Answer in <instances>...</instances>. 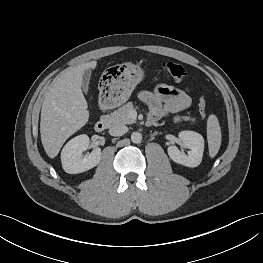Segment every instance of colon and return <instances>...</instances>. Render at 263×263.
<instances>
[{
	"mask_svg": "<svg viewBox=\"0 0 263 263\" xmlns=\"http://www.w3.org/2000/svg\"><path fill=\"white\" fill-rule=\"evenodd\" d=\"M162 70L164 73L172 77L177 81L184 80L187 76L186 70L183 66L172 62V61H164L162 63ZM199 112L202 116H205L206 113V101L204 97L199 98L198 102Z\"/></svg>",
	"mask_w": 263,
	"mask_h": 263,
	"instance_id": "5ec220e1",
	"label": "colon"
}]
</instances>
